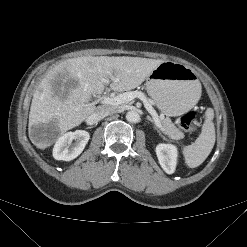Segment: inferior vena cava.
Here are the masks:
<instances>
[{
	"instance_id": "602c4592",
	"label": "inferior vena cava",
	"mask_w": 247,
	"mask_h": 247,
	"mask_svg": "<svg viewBox=\"0 0 247 247\" xmlns=\"http://www.w3.org/2000/svg\"><path fill=\"white\" fill-rule=\"evenodd\" d=\"M114 108L110 107V106H99L97 107V109L95 110V112H93L91 114V118L97 122L103 118H105L106 116L112 114L114 112Z\"/></svg>"
}]
</instances>
